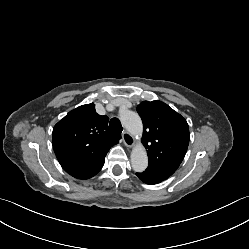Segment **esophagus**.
<instances>
[{"mask_svg":"<svg viewBox=\"0 0 249 249\" xmlns=\"http://www.w3.org/2000/svg\"><path fill=\"white\" fill-rule=\"evenodd\" d=\"M122 139H123V142L125 144V146L131 148L135 145V139L134 137L128 133V132H123L122 133Z\"/></svg>","mask_w":249,"mask_h":249,"instance_id":"obj_1","label":"esophagus"}]
</instances>
